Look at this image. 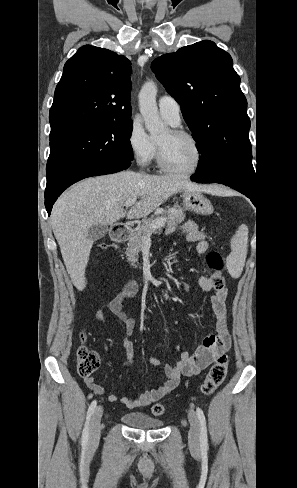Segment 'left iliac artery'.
<instances>
[{"instance_id":"obj_1","label":"left iliac artery","mask_w":297,"mask_h":488,"mask_svg":"<svg viewBox=\"0 0 297 488\" xmlns=\"http://www.w3.org/2000/svg\"><path fill=\"white\" fill-rule=\"evenodd\" d=\"M196 413L200 422V447L201 450L205 452L208 449V438H207L205 415L200 407H197Z\"/></svg>"}]
</instances>
